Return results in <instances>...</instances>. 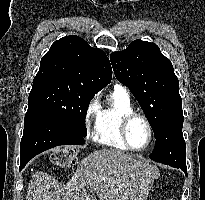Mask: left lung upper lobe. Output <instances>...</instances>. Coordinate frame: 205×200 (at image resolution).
Returning <instances> with one entry per match:
<instances>
[{"label":"left lung upper lobe","instance_id":"obj_1","mask_svg":"<svg viewBox=\"0 0 205 200\" xmlns=\"http://www.w3.org/2000/svg\"><path fill=\"white\" fill-rule=\"evenodd\" d=\"M110 60L116 78L138 100L156 138L168 117L182 111L179 81L171 61L156 44L141 40L113 52Z\"/></svg>","mask_w":205,"mask_h":200}]
</instances>
